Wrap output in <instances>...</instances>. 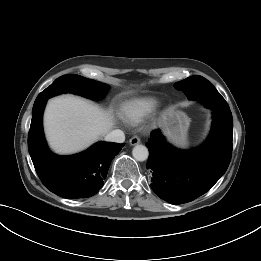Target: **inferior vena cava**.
<instances>
[{
  "label": "inferior vena cava",
  "mask_w": 261,
  "mask_h": 261,
  "mask_svg": "<svg viewBox=\"0 0 261 261\" xmlns=\"http://www.w3.org/2000/svg\"><path fill=\"white\" fill-rule=\"evenodd\" d=\"M105 140L108 142L123 143L125 141V135L122 130H112L105 136Z\"/></svg>",
  "instance_id": "1"
}]
</instances>
